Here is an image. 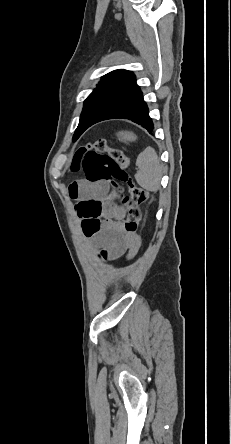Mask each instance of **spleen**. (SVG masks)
<instances>
[{"mask_svg":"<svg viewBox=\"0 0 231 444\" xmlns=\"http://www.w3.org/2000/svg\"><path fill=\"white\" fill-rule=\"evenodd\" d=\"M136 166L138 167L135 174L137 183L148 191H158L162 177V167L157 153L152 147H147L138 155Z\"/></svg>","mask_w":231,"mask_h":444,"instance_id":"1","label":"spleen"}]
</instances>
